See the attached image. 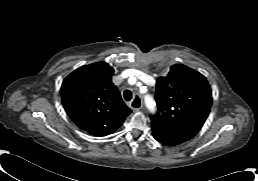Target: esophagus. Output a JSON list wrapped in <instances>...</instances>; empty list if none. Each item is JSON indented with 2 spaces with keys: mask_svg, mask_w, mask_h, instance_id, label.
Segmentation results:
<instances>
[{
  "mask_svg": "<svg viewBox=\"0 0 258 181\" xmlns=\"http://www.w3.org/2000/svg\"><path fill=\"white\" fill-rule=\"evenodd\" d=\"M130 107L133 111H139L142 108V100L138 95L134 97V99L130 103Z\"/></svg>",
  "mask_w": 258,
  "mask_h": 181,
  "instance_id": "1",
  "label": "esophagus"
}]
</instances>
